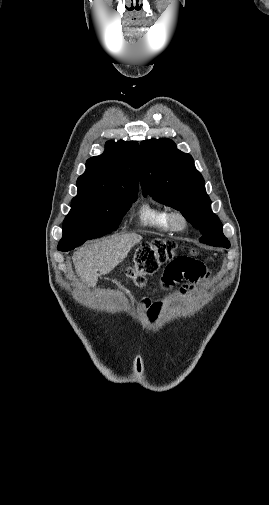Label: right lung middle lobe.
Masks as SVG:
<instances>
[{"label":"right lung middle lobe","mask_w":269,"mask_h":505,"mask_svg":"<svg viewBox=\"0 0 269 505\" xmlns=\"http://www.w3.org/2000/svg\"><path fill=\"white\" fill-rule=\"evenodd\" d=\"M137 195H77L63 222V236L57 247L69 251L86 240L115 231Z\"/></svg>","instance_id":"obj_1"}]
</instances>
